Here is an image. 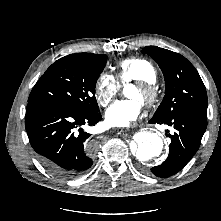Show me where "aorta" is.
I'll return each mask as SVG.
<instances>
[{"instance_id": "762f6f07", "label": "aorta", "mask_w": 221, "mask_h": 221, "mask_svg": "<svg viewBox=\"0 0 221 221\" xmlns=\"http://www.w3.org/2000/svg\"><path fill=\"white\" fill-rule=\"evenodd\" d=\"M134 157L142 164L161 155L164 142L157 133L143 131L135 135Z\"/></svg>"}]
</instances>
